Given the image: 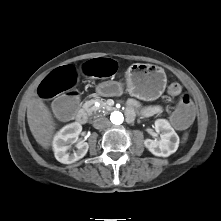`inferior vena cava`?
Instances as JSON below:
<instances>
[{"label": "inferior vena cava", "instance_id": "inferior-vena-cava-1", "mask_svg": "<svg viewBox=\"0 0 221 221\" xmlns=\"http://www.w3.org/2000/svg\"><path fill=\"white\" fill-rule=\"evenodd\" d=\"M110 125V122L107 118L100 117L93 121V126L96 129H103Z\"/></svg>", "mask_w": 221, "mask_h": 221}]
</instances>
